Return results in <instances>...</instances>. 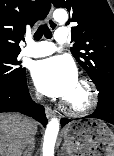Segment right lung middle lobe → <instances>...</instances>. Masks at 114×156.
Returning <instances> with one entry per match:
<instances>
[{"mask_svg": "<svg viewBox=\"0 0 114 156\" xmlns=\"http://www.w3.org/2000/svg\"><path fill=\"white\" fill-rule=\"evenodd\" d=\"M19 53L0 51V87H15L24 80L26 69L20 66Z\"/></svg>", "mask_w": 114, "mask_h": 156, "instance_id": "obj_1", "label": "right lung middle lobe"}]
</instances>
